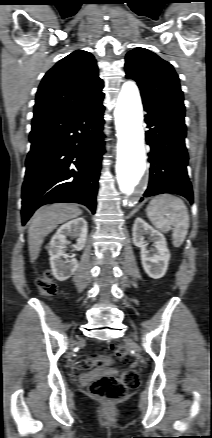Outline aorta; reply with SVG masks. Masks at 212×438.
Segmentation results:
<instances>
[{
	"label": "aorta",
	"instance_id": "762f6f07",
	"mask_svg": "<svg viewBox=\"0 0 212 438\" xmlns=\"http://www.w3.org/2000/svg\"><path fill=\"white\" fill-rule=\"evenodd\" d=\"M114 116L118 136L117 180L121 192L129 196L146 170L142 104L134 82L123 84Z\"/></svg>",
	"mask_w": 212,
	"mask_h": 438
}]
</instances>
